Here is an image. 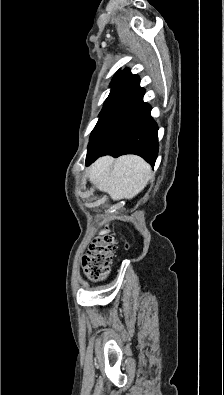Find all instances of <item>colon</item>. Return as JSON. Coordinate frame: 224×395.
Here are the masks:
<instances>
[{
  "instance_id": "1",
  "label": "colon",
  "mask_w": 224,
  "mask_h": 395,
  "mask_svg": "<svg viewBox=\"0 0 224 395\" xmlns=\"http://www.w3.org/2000/svg\"><path fill=\"white\" fill-rule=\"evenodd\" d=\"M115 250V235L106 234L96 238L82 260L85 272L94 280L105 278L109 272Z\"/></svg>"
}]
</instances>
